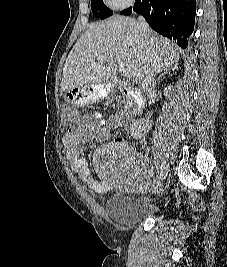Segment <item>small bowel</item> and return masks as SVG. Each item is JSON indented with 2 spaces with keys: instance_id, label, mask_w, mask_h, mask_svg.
Segmentation results:
<instances>
[{
  "instance_id": "small-bowel-1",
  "label": "small bowel",
  "mask_w": 227,
  "mask_h": 267,
  "mask_svg": "<svg viewBox=\"0 0 227 267\" xmlns=\"http://www.w3.org/2000/svg\"><path fill=\"white\" fill-rule=\"evenodd\" d=\"M91 118L96 122L95 125L87 123L85 126L72 127L70 129L63 139L64 148L71 169L78 175L86 187L94 193H104L107 191V183L94 177L88 167L86 159L81 155L80 149L94 139L99 141L107 139L111 129L115 128L116 125L106 120L99 111H93L91 113ZM128 166L131 171V166L129 164ZM137 174L141 180L136 190L139 192L146 191L148 185L144 180L145 173L137 170Z\"/></svg>"
}]
</instances>
